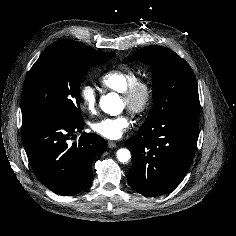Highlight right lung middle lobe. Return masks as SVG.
Segmentation results:
<instances>
[{"mask_svg":"<svg viewBox=\"0 0 236 236\" xmlns=\"http://www.w3.org/2000/svg\"><path fill=\"white\" fill-rule=\"evenodd\" d=\"M113 56L114 53L84 50L72 40L62 39L49 45L26 77L22 120L40 114L80 119V85L86 70Z\"/></svg>","mask_w":236,"mask_h":236,"instance_id":"dd1d6c3e","label":"right lung middle lobe"}]
</instances>
